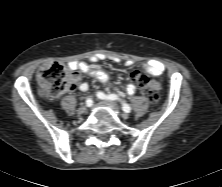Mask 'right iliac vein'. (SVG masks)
Segmentation results:
<instances>
[{"label": "right iliac vein", "instance_id": "obj_1", "mask_svg": "<svg viewBox=\"0 0 222 187\" xmlns=\"http://www.w3.org/2000/svg\"><path fill=\"white\" fill-rule=\"evenodd\" d=\"M87 111V107L85 105L80 106L77 110L78 114H84Z\"/></svg>", "mask_w": 222, "mask_h": 187}]
</instances>
